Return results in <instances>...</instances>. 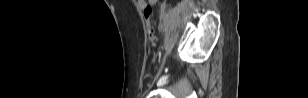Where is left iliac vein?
<instances>
[{"instance_id":"4c4485c4","label":"left iliac vein","mask_w":308,"mask_h":98,"mask_svg":"<svg viewBox=\"0 0 308 98\" xmlns=\"http://www.w3.org/2000/svg\"><path fill=\"white\" fill-rule=\"evenodd\" d=\"M165 59H166V57H164V59L162 60L160 66H159V68L157 70V73H156L155 77H158L160 75V73L162 72L164 64H165Z\"/></svg>"}]
</instances>
